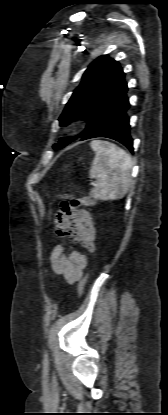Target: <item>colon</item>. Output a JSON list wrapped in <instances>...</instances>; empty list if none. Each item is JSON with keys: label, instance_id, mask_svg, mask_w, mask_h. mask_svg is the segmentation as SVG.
Instances as JSON below:
<instances>
[{"label": "colon", "instance_id": "colon-1", "mask_svg": "<svg viewBox=\"0 0 168 415\" xmlns=\"http://www.w3.org/2000/svg\"><path fill=\"white\" fill-rule=\"evenodd\" d=\"M71 201H74L75 207H81L82 202L84 203V208H87V207L88 208H94L95 207V204L91 203V202H95V199H93V194L92 193H87L86 196H76V199H73ZM86 281H87V277H84L79 282V286H78L79 295L83 294Z\"/></svg>", "mask_w": 168, "mask_h": 415}]
</instances>
